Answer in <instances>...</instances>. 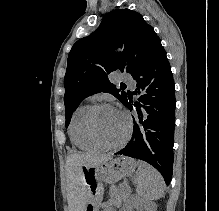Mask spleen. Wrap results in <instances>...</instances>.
I'll use <instances>...</instances> for the list:
<instances>
[{"instance_id": "1", "label": "spleen", "mask_w": 219, "mask_h": 211, "mask_svg": "<svg viewBox=\"0 0 219 211\" xmlns=\"http://www.w3.org/2000/svg\"><path fill=\"white\" fill-rule=\"evenodd\" d=\"M134 183H136V191L141 201L163 197L165 181L161 173L145 161H141L134 175Z\"/></svg>"}]
</instances>
